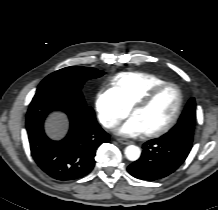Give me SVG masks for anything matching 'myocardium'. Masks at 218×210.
I'll return each instance as SVG.
<instances>
[{"label":"myocardium","mask_w":218,"mask_h":210,"mask_svg":"<svg viewBox=\"0 0 218 210\" xmlns=\"http://www.w3.org/2000/svg\"><path fill=\"white\" fill-rule=\"evenodd\" d=\"M167 87H174L177 91V94H178V103H177L175 112H174L173 116L171 117V119L168 121V123L165 124L163 127L159 128L157 130H154V131L144 133V135L146 137H151V138L152 137H159V136L167 133L168 131H170L175 126V124L177 123V121L181 115L183 103H184V96H183L182 89L180 88L179 85H177L174 82H164V83L154 87L153 89H151L149 92H147L141 99H139L132 106L131 114H133L136 109L144 108V107L148 106L149 104H151L152 101L157 97V95Z\"/></svg>","instance_id":"1"}]
</instances>
